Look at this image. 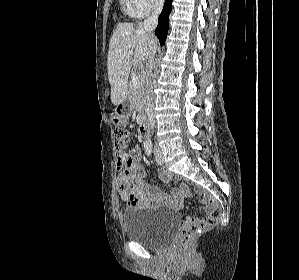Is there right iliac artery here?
<instances>
[{
  "mask_svg": "<svg viewBox=\"0 0 299 280\" xmlns=\"http://www.w3.org/2000/svg\"><path fill=\"white\" fill-rule=\"evenodd\" d=\"M144 148H145V152H146V154H147L148 156H150L151 153H152V143H151L150 140H146V141L144 142Z\"/></svg>",
  "mask_w": 299,
  "mask_h": 280,
  "instance_id": "obj_1",
  "label": "right iliac artery"
}]
</instances>
